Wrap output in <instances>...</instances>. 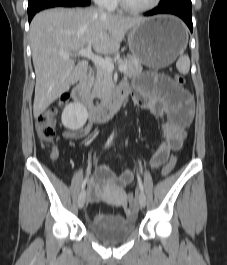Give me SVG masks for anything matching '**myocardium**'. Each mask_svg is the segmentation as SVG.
<instances>
[{
  "instance_id": "1",
  "label": "myocardium",
  "mask_w": 227,
  "mask_h": 265,
  "mask_svg": "<svg viewBox=\"0 0 227 265\" xmlns=\"http://www.w3.org/2000/svg\"><path fill=\"white\" fill-rule=\"evenodd\" d=\"M118 4L120 5V7L125 10L126 12L129 13H133V14H142V13H146L149 11H152L153 9H155L156 7H158V5L160 4L161 0H154L150 5L145 6V7H141V8H136V7H132L130 6L126 0H117Z\"/></svg>"
}]
</instances>
